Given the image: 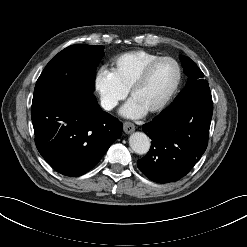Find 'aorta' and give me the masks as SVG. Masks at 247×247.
Here are the masks:
<instances>
[{"label": "aorta", "mask_w": 247, "mask_h": 247, "mask_svg": "<svg viewBox=\"0 0 247 247\" xmlns=\"http://www.w3.org/2000/svg\"><path fill=\"white\" fill-rule=\"evenodd\" d=\"M129 145L137 154H146L150 149V139L143 132H135L129 137Z\"/></svg>", "instance_id": "aorta-1"}]
</instances>
